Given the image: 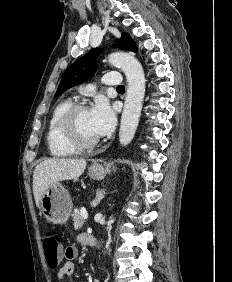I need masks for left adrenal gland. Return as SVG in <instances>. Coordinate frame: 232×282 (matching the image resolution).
I'll return each instance as SVG.
<instances>
[{
    "mask_svg": "<svg viewBox=\"0 0 232 282\" xmlns=\"http://www.w3.org/2000/svg\"><path fill=\"white\" fill-rule=\"evenodd\" d=\"M105 194H106L105 190L98 189L96 192V197L92 202V205L94 207L97 206L100 203V201L105 197Z\"/></svg>",
    "mask_w": 232,
    "mask_h": 282,
    "instance_id": "a2214340",
    "label": "left adrenal gland"
}]
</instances>
